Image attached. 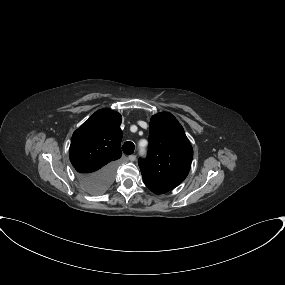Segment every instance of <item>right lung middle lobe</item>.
<instances>
[{
    "label": "right lung middle lobe",
    "instance_id": "1",
    "mask_svg": "<svg viewBox=\"0 0 285 285\" xmlns=\"http://www.w3.org/2000/svg\"><path fill=\"white\" fill-rule=\"evenodd\" d=\"M100 193H103V192H100ZM100 193H93V194H100Z\"/></svg>",
    "mask_w": 285,
    "mask_h": 285
}]
</instances>
